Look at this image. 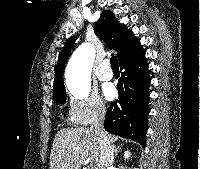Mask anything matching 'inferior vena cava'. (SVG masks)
Masks as SVG:
<instances>
[{"mask_svg": "<svg viewBox=\"0 0 200 169\" xmlns=\"http://www.w3.org/2000/svg\"><path fill=\"white\" fill-rule=\"evenodd\" d=\"M106 114V107L100 106L97 110V114L93 124L91 125V130H93L98 137L99 147H100V157L97 162L96 169H111L110 167L114 161V148L104 130L103 123Z\"/></svg>", "mask_w": 200, "mask_h": 169, "instance_id": "602c4592", "label": "inferior vena cava"}]
</instances>
